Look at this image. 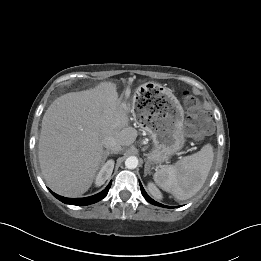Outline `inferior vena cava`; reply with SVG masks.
Returning a JSON list of instances; mask_svg holds the SVG:
<instances>
[{
  "mask_svg": "<svg viewBox=\"0 0 261 261\" xmlns=\"http://www.w3.org/2000/svg\"><path fill=\"white\" fill-rule=\"evenodd\" d=\"M103 146L109 150V151H113L115 153H118L121 151V145L119 144V142L114 138V137H106L103 141Z\"/></svg>",
  "mask_w": 261,
  "mask_h": 261,
  "instance_id": "1",
  "label": "inferior vena cava"
}]
</instances>
